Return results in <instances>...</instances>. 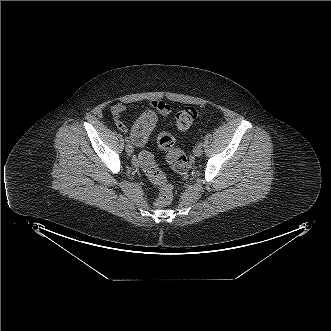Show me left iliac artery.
Wrapping results in <instances>:
<instances>
[{
	"mask_svg": "<svg viewBox=\"0 0 331 331\" xmlns=\"http://www.w3.org/2000/svg\"><path fill=\"white\" fill-rule=\"evenodd\" d=\"M198 145H200L201 147L203 146V142H199V144Z\"/></svg>",
	"mask_w": 331,
	"mask_h": 331,
	"instance_id": "1",
	"label": "left iliac artery"
}]
</instances>
